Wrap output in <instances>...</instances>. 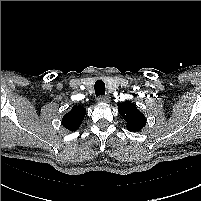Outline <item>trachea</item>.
Wrapping results in <instances>:
<instances>
[{
    "label": "trachea",
    "instance_id": "obj_1",
    "mask_svg": "<svg viewBox=\"0 0 201 201\" xmlns=\"http://www.w3.org/2000/svg\"><path fill=\"white\" fill-rule=\"evenodd\" d=\"M94 89L97 97L105 95V83L102 80L96 81Z\"/></svg>",
    "mask_w": 201,
    "mask_h": 201
}]
</instances>
